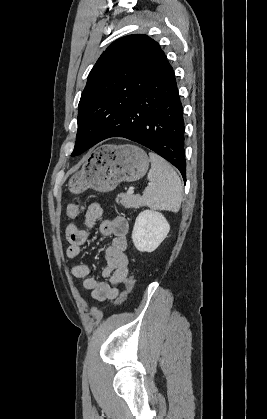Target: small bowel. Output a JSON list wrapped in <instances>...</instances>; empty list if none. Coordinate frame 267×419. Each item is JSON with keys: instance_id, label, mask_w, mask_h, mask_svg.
I'll return each mask as SVG.
<instances>
[{"instance_id": "small-bowel-1", "label": "small bowel", "mask_w": 267, "mask_h": 419, "mask_svg": "<svg viewBox=\"0 0 267 419\" xmlns=\"http://www.w3.org/2000/svg\"><path fill=\"white\" fill-rule=\"evenodd\" d=\"M102 214V205L99 202L91 203L85 213L86 226L93 228ZM128 230L129 224L123 217L103 220L99 224L100 234L111 237L105 254L107 265L102 272L104 281H98L91 277V269L87 264L79 263L71 268L72 275L83 280V287L91 292V296L95 300L103 301L116 298L119 293L118 287L129 273V262L126 255ZM65 235L69 242L66 255L70 260H75L81 255L82 247L89 238V232L78 228L74 222H71L66 226Z\"/></svg>"}]
</instances>
